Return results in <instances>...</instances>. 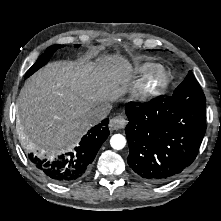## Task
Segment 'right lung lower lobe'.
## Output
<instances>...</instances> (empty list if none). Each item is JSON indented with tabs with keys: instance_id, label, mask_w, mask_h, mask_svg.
<instances>
[{
	"instance_id": "right-lung-lower-lobe-1",
	"label": "right lung lower lobe",
	"mask_w": 221,
	"mask_h": 221,
	"mask_svg": "<svg viewBox=\"0 0 221 221\" xmlns=\"http://www.w3.org/2000/svg\"><path fill=\"white\" fill-rule=\"evenodd\" d=\"M109 119L91 128L72 152L46 157L29 153L28 158L35 168L53 182L66 184L83 178L90 170L99 148L109 135Z\"/></svg>"
}]
</instances>
